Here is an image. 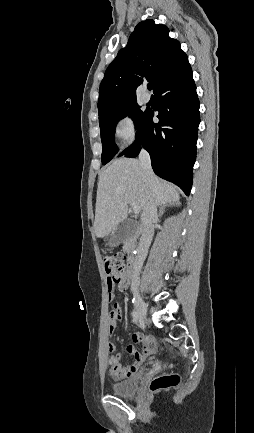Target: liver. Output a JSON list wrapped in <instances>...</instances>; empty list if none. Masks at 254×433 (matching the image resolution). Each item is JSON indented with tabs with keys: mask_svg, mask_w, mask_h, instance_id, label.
<instances>
[{
	"mask_svg": "<svg viewBox=\"0 0 254 433\" xmlns=\"http://www.w3.org/2000/svg\"><path fill=\"white\" fill-rule=\"evenodd\" d=\"M153 198L157 205L179 202L177 188L153 174L151 180L137 159L113 161L98 180L94 231L103 238L127 218L128 205L136 203L144 211Z\"/></svg>",
	"mask_w": 254,
	"mask_h": 433,
	"instance_id": "liver-1",
	"label": "liver"
}]
</instances>
